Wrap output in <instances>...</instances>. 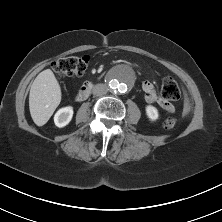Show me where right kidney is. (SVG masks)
Returning <instances> with one entry per match:
<instances>
[{
	"instance_id": "ca27d5eb",
	"label": "right kidney",
	"mask_w": 222,
	"mask_h": 222,
	"mask_svg": "<svg viewBox=\"0 0 222 222\" xmlns=\"http://www.w3.org/2000/svg\"><path fill=\"white\" fill-rule=\"evenodd\" d=\"M73 117V107L67 106L59 109L54 116V123L57 127L62 128L69 124Z\"/></svg>"
}]
</instances>
